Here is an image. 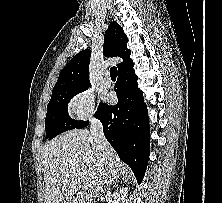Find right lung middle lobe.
Listing matches in <instances>:
<instances>
[{"label":"right lung middle lobe","instance_id":"dd1d6c3e","mask_svg":"<svg viewBox=\"0 0 222 203\" xmlns=\"http://www.w3.org/2000/svg\"><path fill=\"white\" fill-rule=\"evenodd\" d=\"M89 87L90 85H86L52 92L45 118L46 136L49 140L60 133L74 129L82 122L69 117L67 106L71 98L87 90Z\"/></svg>","mask_w":222,"mask_h":203}]
</instances>
